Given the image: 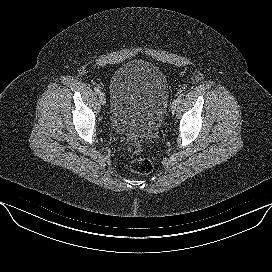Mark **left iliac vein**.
Returning <instances> with one entry per match:
<instances>
[{"label": "left iliac vein", "instance_id": "obj_1", "mask_svg": "<svg viewBox=\"0 0 272 272\" xmlns=\"http://www.w3.org/2000/svg\"><path fill=\"white\" fill-rule=\"evenodd\" d=\"M178 102L176 101V100H174L173 102H172V105H171V111H172V113H175L176 112V110H177V107H178Z\"/></svg>", "mask_w": 272, "mask_h": 272}]
</instances>
